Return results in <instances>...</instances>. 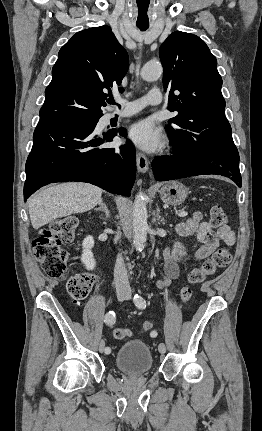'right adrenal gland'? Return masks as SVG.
<instances>
[{"mask_svg": "<svg viewBox=\"0 0 262 431\" xmlns=\"http://www.w3.org/2000/svg\"><path fill=\"white\" fill-rule=\"evenodd\" d=\"M95 210H100L104 212L106 219L110 217V210L108 209V206L103 202L102 199L99 202V207L95 208Z\"/></svg>", "mask_w": 262, "mask_h": 431, "instance_id": "right-adrenal-gland-1", "label": "right adrenal gland"}]
</instances>
